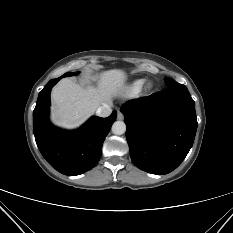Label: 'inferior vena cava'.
<instances>
[{
  "instance_id": "602c4592",
  "label": "inferior vena cava",
  "mask_w": 233,
  "mask_h": 233,
  "mask_svg": "<svg viewBox=\"0 0 233 233\" xmlns=\"http://www.w3.org/2000/svg\"><path fill=\"white\" fill-rule=\"evenodd\" d=\"M112 112L111 106L108 104H103L98 107L96 110V114L100 117H108Z\"/></svg>"
}]
</instances>
